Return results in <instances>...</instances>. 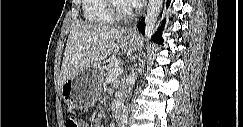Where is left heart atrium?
<instances>
[{"label":"left heart atrium","instance_id":"39dd6f15","mask_svg":"<svg viewBox=\"0 0 243 127\" xmlns=\"http://www.w3.org/2000/svg\"><path fill=\"white\" fill-rule=\"evenodd\" d=\"M126 2L129 3V4H131V5H133V6H135V5L140 4L141 3V0H128Z\"/></svg>","mask_w":243,"mask_h":127}]
</instances>
